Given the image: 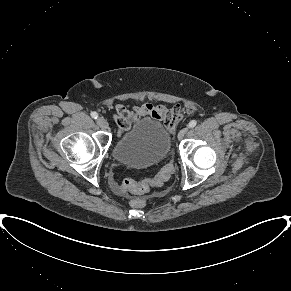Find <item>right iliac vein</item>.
<instances>
[{
    "label": "right iliac vein",
    "instance_id": "obj_1",
    "mask_svg": "<svg viewBox=\"0 0 291 291\" xmlns=\"http://www.w3.org/2000/svg\"><path fill=\"white\" fill-rule=\"evenodd\" d=\"M97 124H98L101 128H103V129H106V128L108 127V122H107V120H106L105 118H103V117H99V118L97 119Z\"/></svg>",
    "mask_w": 291,
    "mask_h": 291
}]
</instances>
